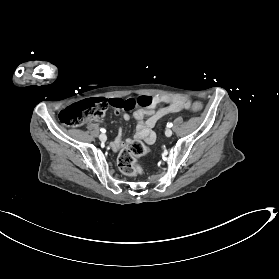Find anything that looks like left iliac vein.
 <instances>
[{"instance_id": "4c4485c4", "label": "left iliac vein", "mask_w": 279, "mask_h": 279, "mask_svg": "<svg viewBox=\"0 0 279 279\" xmlns=\"http://www.w3.org/2000/svg\"><path fill=\"white\" fill-rule=\"evenodd\" d=\"M165 135H166L167 137H170V136L172 135V130H171V129H166Z\"/></svg>"}]
</instances>
